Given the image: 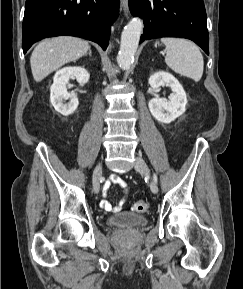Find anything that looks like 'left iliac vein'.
<instances>
[{"instance_id":"1","label":"left iliac vein","mask_w":243,"mask_h":289,"mask_svg":"<svg viewBox=\"0 0 243 289\" xmlns=\"http://www.w3.org/2000/svg\"><path fill=\"white\" fill-rule=\"evenodd\" d=\"M134 167L139 173L150 178V189L152 193L157 194L158 193L157 183L150 177V171L145 161L141 157H136Z\"/></svg>"}]
</instances>
